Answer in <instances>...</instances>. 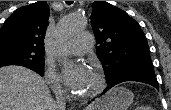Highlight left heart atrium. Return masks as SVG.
I'll list each match as a JSON object with an SVG mask.
<instances>
[{
  "instance_id": "1",
  "label": "left heart atrium",
  "mask_w": 171,
  "mask_h": 110,
  "mask_svg": "<svg viewBox=\"0 0 171 110\" xmlns=\"http://www.w3.org/2000/svg\"><path fill=\"white\" fill-rule=\"evenodd\" d=\"M88 74V68L81 64L66 63L62 69V77L66 85L74 91L79 89Z\"/></svg>"
}]
</instances>
